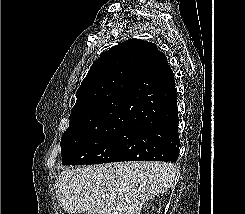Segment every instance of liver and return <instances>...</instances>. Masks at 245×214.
Segmentation results:
<instances>
[{
    "label": "liver",
    "mask_w": 245,
    "mask_h": 214,
    "mask_svg": "<svg viewBox=\"0 0 245 214\" xmlns=\"http://www.w3.org/2000/svg\"><path fill=\"white\" fill-rule=\"evenodd\" d=\"M176 168L160 162H122L67 169L56 194L69 214H140L142 206L173 184Z\"/></svg>",
    "instance_id": "liver-1"
}]
</instances>
